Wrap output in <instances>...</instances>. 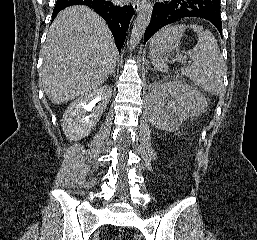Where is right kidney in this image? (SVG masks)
Listing matches in <instances>:
<instances>
[{"label": "right kidney", "instance_id": "right-kidney-1", "mask_svg": "<svg viewBox=\"0 0 257 240\" xmlns=\"http://www.w3.org/2000/svg\"><path fill=\"white\" fill-rule=\"evenodd\" d=\"M111 96V87L105 85L73 101L66 109L61 120L66 137L70 141H76L87 136L96 126ZM87 112H90V114L87 115Z\"/></svg>", "mask_w": 257, "mask_h": 240}]
</instances>
